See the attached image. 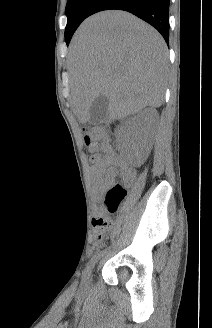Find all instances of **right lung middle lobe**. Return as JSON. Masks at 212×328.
Here are the masks:
<instances>
[{
  "mask_svg": "<svg viewBox=\"0 0 212 328\" xmlns=\"http://www.w3.org/2000/svg\"><path fill=\"white\" fill-rule=\"evenodd\" d=\"M96 0H68L66 5L67 25L65 28V41L68 45L73 33L88 17V12Z\"/></svg>",
  "mask_w": 212,
  "mask_h": 328,
  "instance_id": "1",
  "label": "right lung middle lobe"
}]
</instances>
